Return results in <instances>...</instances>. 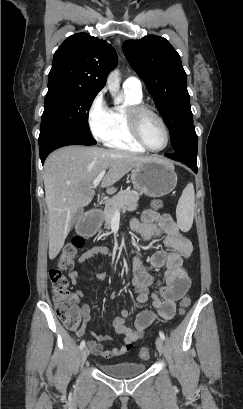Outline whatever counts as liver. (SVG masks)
Returning <instances> with one entry per match:
<instances>
[{
    "instance_id": "liver-1",
    "label": "liver",
    "mask_w": 243,
    "mask_h": 409,
    "mask_svg": "<svg viewBox=\"0 0 243 409\" xmlns=\"http://www.w3.org/2000/svg\"><path fill=\"white\" fill-rule=\"evenodd\" d=\"M152 157L116 149L67 146L51 153L44 164L45 202L48 207L49 259L62 249L72 221L79 209L93 199V180L109 169L101 186L107 193L116 192L113 185L134 167Z\"/></svg>"
}]
</instances>
